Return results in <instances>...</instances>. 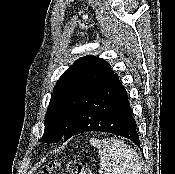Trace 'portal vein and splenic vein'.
<instances>
[{
  "instance_id": "1",
  "label": "portal vein and splenic vein",
  "mask_w": 175,
  "mask_h": 174,
  "mask_svg": "<svg viewBox=\"0 0 175 174\" xmlns=\"http://www.w3.org/2000/svg\"><path fill=\"white\" fill-rule=\"evenodd\" d=\"M99 173H103V171H99Z\"/></svg>"
}]
</instances>
